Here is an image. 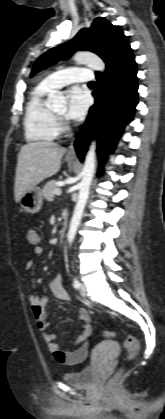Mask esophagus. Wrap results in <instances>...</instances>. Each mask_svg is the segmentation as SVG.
<instances>
[{
  "label": "esophagus",
  "instance_id": "1",
  "mask_svg": "<svg viewBox=\"0 0 165 419\" xmlns=\"http://www.w3.org/2000/svg\"><path fill=\"white\" fill-rule=\"evenodd\" d=\"M75 139H76V138H74V139L72 140V143H71V145H70V147H69V150H68V152H67V155H68V156H70V157H75V156H76V152H75V149H74V142H75Z\"/></svg>",
  "mask_w": 165,
  "mask_h": 419
}]
</instances>
